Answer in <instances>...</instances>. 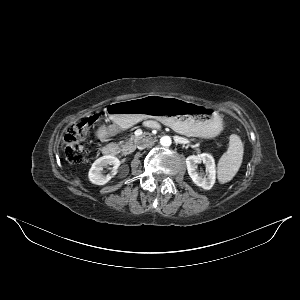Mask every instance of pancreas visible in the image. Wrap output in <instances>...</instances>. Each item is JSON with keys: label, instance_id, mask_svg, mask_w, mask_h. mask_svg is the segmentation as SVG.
I'll return each mask as SVG.
<instances>
[{"label": "pancreas", "instance_id": "obj_1", "mask_svg": "<svg viewBox=\"0 0 300 300\" xmlns=\"http://www.w3.org/2000/svg\"><path fill=\"white\" fill-rule=\"evenodd\" d=\"M138 142H139V137L133 135L126 141H120L118 143V146H119L120 151L124 155H127L135 149V147L138 145Z\"/></svg>", "mask_w": 300, "mask_h": 300}]
</instances>
